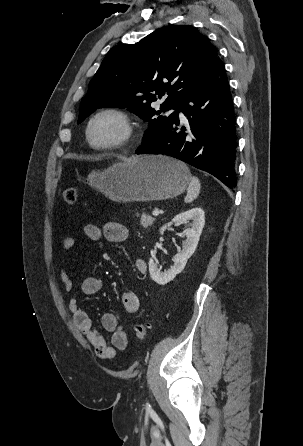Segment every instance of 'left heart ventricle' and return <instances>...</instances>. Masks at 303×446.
Wrapping results in <instances>:
<instances>
[{
    "label": "left heart ventricle",
    "instance_id": "obj_1",
    "mask_svg": "<svg viewBox=\"0 0 303 446\" xmlns=\"http://www.w3.org/2000/svg\"><path fill=\"white\" fill-rule=\"evenodd\" d=\"M121 133L119 123L110 116L97 119L91 128V139L97 145L114 141Z\"/></svg>",
    "mask_w": 303,
    "mask_h": 446
}]
</instances>
